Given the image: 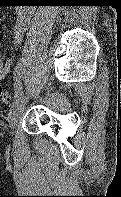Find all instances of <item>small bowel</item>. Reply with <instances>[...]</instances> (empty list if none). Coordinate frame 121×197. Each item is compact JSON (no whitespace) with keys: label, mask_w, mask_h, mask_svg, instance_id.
<instances>
[{"label":"small bowel","mask_w":121,"mask_h":197,"mask_svg":"<svg viewBox=\"0 0 121 197\" xmlns=\"http://www.w3.org/2000/svg\"><path fill=\"white\" fill-rule=\"evenodd\" d=\"M32 19V10L28 8H20L17 11L16 23L12 29V44L18 47L22 41L23 35L28 29ZM13 59L9 58L3 62L0 58V80L4 79L11 71Z\"/></svg>","instance_id":"c3829d8e"}]
</instances>
